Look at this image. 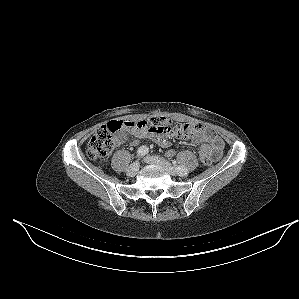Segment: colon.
Returning <instances> with one entry per match:
<instances>
[{"mask_svg":"<svg viewBox=\"0 0 299 299\" xmlns=\"http://www.w3.org/2000/svg\"><path fill=\"white\" fill-rule=\"evenodd\" d=\"M199 127L200 125L197 123L173 124L165 117H152L149 120L138 122L112 120L101 126L92 136L87 145V155L93 160L104 159L115 146L123 129H148L159 133L175 135L180 138H188L193 132L198 130ZM199 152L201 162L204 165L211 164V160L203 145L199 146Z\"/></svg>","mask_w":299,"mask_h":299,"instance_id":"5ec220e1","label":"colon"}]
</instances>
